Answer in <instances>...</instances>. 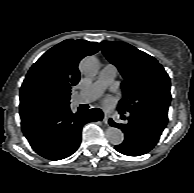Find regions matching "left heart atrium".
I'll list each match as a JSON object with an SVG mask.
<instances>
[{"label":"left heart atrium","mask_w":194,"mask_h":193,"mask_svg":"<svg viewBox=\"0 0 194 193\" xmlns=\"http://www.w3.org/2000/svg\"><path fill=\"white\" fill-rule=\"evenodd\" d=\"M104 104H105L106 106H110V105L112 104V100H111L110 98H106V99L104 100Z\"/></svg>","instance_id":"39dd6f15"}]
</instances>
